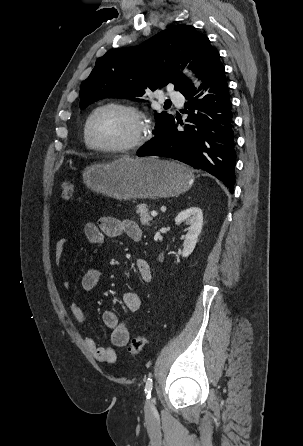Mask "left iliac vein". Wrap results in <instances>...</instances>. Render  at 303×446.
<instances>
[{
    "label": "left iliac vein",
    "instance_id": "4c4485c4",
    "mask_svg": "<svg viewBox=\"0 0 303 446\" xmlns=\"http://www.w3.org/2000/svg\"><path fill=\"white\" fill-rule=\"evenodd\" d=\"M145 408H146V411H147V412H151V411L153 410L154 406H153V402H152L151 399H148V400L146 401Z\"/></svg>",
    "mask_w": 303,
    "mask_h": 446
}]
</instances>
